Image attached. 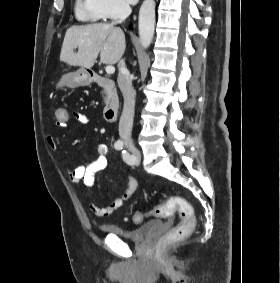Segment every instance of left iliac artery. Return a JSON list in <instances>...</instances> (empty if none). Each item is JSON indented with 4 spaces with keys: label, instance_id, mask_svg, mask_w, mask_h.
Instances as JSON below:
<instances>
[{
    "label": "left iliac artery",
    "instance_id": "44dca946",
    "mask_svg": "<svg viewBox=\"0 0 280 283\" xmlns=\"http://www.w3.org/2000/svg\"><path fill=\"white\" fill-rule=\"evenodd\" d=\"M122 157H123L124 161H126L128 164L133 163V157L127 151L124 150L122 152Z\"/></svg>",
    "mask_w": 280,
    "mask_h": 283
}]
</instances>
